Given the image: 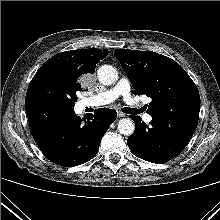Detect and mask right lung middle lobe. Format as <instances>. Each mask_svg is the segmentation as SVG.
<instances>
[{"instance_id":"right-lung-middle-lobe-1","label":"right lung middle lobe","mask_w":220,"mask_h":220,"mask_svg":"<svg viewBox=\"0 0 220 220\" xmlns=\"http://www.w3.org/2000/svg\"><path fill=\"white\" fill-rule=\"evenodd\" d=\"M80 80V77L56 70L37 71L29 84L26 99L50 100L74 108L76 93L82 90Z\"/></svg>"}]
</instances>
